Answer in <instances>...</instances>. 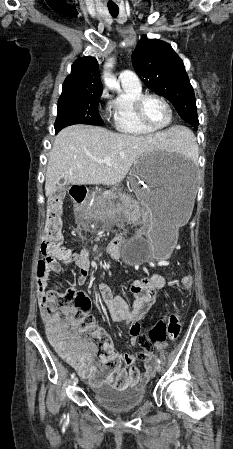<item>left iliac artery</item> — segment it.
<instances>
[{"mask_svg":"<svg viewBox=\"0 0 233 449\" xmlns=\"http://www.w3.org/2000/svg\"><path fill=\"white\" fill-rule=\"evenodd\" d=\"M156 360H157V362H158L159 364H161L160 358L157 357Z\"/></svg>","mask_w":233,"mask_h":449,"instance_id":"left-iliac-artery-1","label":"left iliac artery"}]
</instances>
